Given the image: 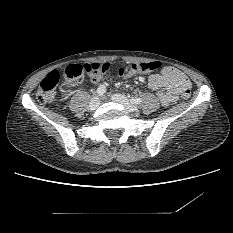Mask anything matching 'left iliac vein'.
I'll return each mask as SVG.
<instances>
[{
  "label": "left iliac vein",
  "instance_id": "4c4485c4",
  "mask_svg": "<svg viewBox=\"0 0 233 233\" xmlns=\"http://www.w3.org/2000/svg\"><path fill=\"white\" fill-rule=\"evenodd\" d=\"M112 100L122 104L123 106H125V108L129 111V112H135L137 110V107L132 104L127 97H125L122 94H114L112 96Z\"/></svg>",
  "mask_w": 233,
  "mask_h": 233
}]
</instances>
